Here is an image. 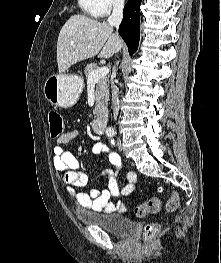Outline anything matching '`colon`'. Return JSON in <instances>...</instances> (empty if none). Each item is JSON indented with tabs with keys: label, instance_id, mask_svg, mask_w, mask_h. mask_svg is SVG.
Here are the masks:
<instances>
[{
	"label": "colon",
	"instance_id": "1",
	"mask_svg": "<svg viewBox=\"0 0 221 263\" xmlns=\"http://www.w3.org/2000/svg\"><path fill=\"white\" fill-rule=\"evenodd\" d=\"M48 121L50 127V136L52 138H57L62 135L64 125L62 115L57 111H50L48 113ZM164 188L162 186L158 187V192L162 193ZM179 205V197L173 192L166 202V209L170 212L175 211ZM161 207V201L158 196L151 197L145 203H141L136 206L135 213L137 217L144 218L150 214L158 213ZM157 224L150 223L145 227V236L151 237L157 232Z\"/></svg>",
	"mask_w": 221,
	"mask_h": 263
}]
</instances>
